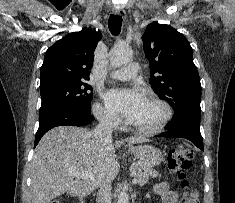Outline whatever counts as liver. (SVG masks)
Here are the masks:
<instances>
[{"label": "liver", "mask_w": 235, "mask_h": 203, "mask_svg": "<svg viewBox=\"0 0 235 203\" xmlns=\"http://www.w3.org/2000/svg\"><path fill=\"white\" fill-rule=\"evenodd\" d=\"M124 142H145L140 137L105 141L95 131L59 126L48 131L37 145L31 161L32 203H49L64 193L87 196L105 180L112 181L120 165L115 151ZM71 171L92 173L95 180L71 175Z\"/></svg>", "instance_id": "liver-1"}]
</instances>
